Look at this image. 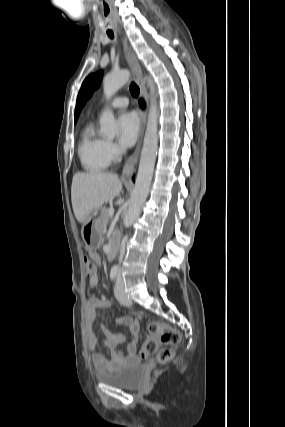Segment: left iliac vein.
I'll return each mask as SVG.
<instances>
[{"label": "left iliac vein", "mask_w": 285, "mask_h": 427, "mask_svg": "<svg viewBox=\"0 0 285 427\" xmlns=\"http://www.w3.org/2000/svg\"><path fill=\"white\" fill-rule=\"evenodd\" d=\"M115 297L123 305H130L132 302L127 297V294L125 292V285L123 278L121 276H118L116 286H115Z\"/></svg>", "instance_id": "4c4485c4"}]
</instances>
